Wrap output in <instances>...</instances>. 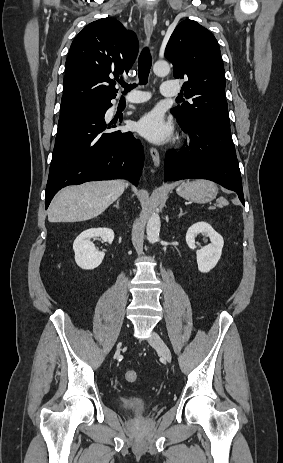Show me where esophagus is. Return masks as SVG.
Returning <instances> with one entry per match:
<instances>
[{
  "label": "esophagus",
  "mask_w": 283,
  "mask_h": 463,
  "mask_svg": "<svg viewBox=\"0 0 283 463\" xmlns=\"http://www.w3.org/2000/svg\"><path fill=\"white\" fill-rule=\"evenodd\" d=\"M144 29H145V33H146L147 38L150 39L152 34H153V30H154L153 17L151 15H146L145 16V18H144ZM150 154H151L152 160L154 162V165L156 167H159V165H160V155H159V152L157 151V149L154 148V147H151L150 148Z\"/></svg>",
  "instance_id": "1"
}]
</instances>
